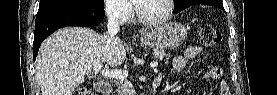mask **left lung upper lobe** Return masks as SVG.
Instances as JSON below:
<instances>
[{
  "mask_svg": "<svg viewBox=\"0 0 277 95\" xmlns=\"http://www.w3.org/2000/svg\"><path fill=\"white\" fill-rule=\"evenodd\" d=\"M203 1L214 3V4H222V0H174V12H180L183 9L201 3Z\"/></svg>",
  "mask_w": 277,
  "mask_h": 95,
  "instance_id": "left-lung-upper-lobe-1",
  "label": "left lung upper lobe"
}]
</instances>
